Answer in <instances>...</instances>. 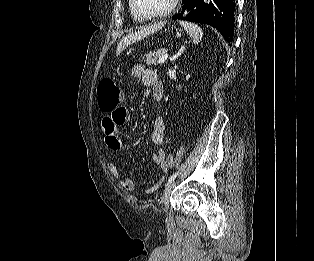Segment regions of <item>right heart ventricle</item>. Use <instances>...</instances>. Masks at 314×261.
Listing matches in <instances>:
<instances>
[{"instance_id":"right-heart-ventricle-1","label":"right heart ventricle","mask_w":314,"mask_h":261,"mask_svg":"<svg viewBox=\"0 0 314 261\" xmlns=\"http://www.w3.org/2000/svg\"><path fill=\"white\" fill-rule=\"evenodd\" d=\"M128 6H129V11H130L131 16L135 20H141L142 18H140L133 9L132 0H128Z\"/></svg>"}]
</instances>
